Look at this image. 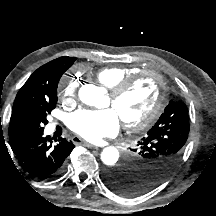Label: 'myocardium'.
<instances>
[{
    "label": "myocardium",
    "instance_id": "1",
    "mask_svg": "<svg viewBox=\"0 0 216 216\" xmlns=\"http://www.w3.org/2000/svg\"><path fill=\"white\" fill-rule=\"evenodd\" d=\"M145 76L153 77L158 84V94L148 114L135 122L123 121L124 127L130 131H141L149 127L157 118L158 114L162 110L166 96H167V83L158 71L155 70H143L133 75L128 76L121 82H119L110 91V98L116 103L123 94H125L134 84H136L141 78Z\"/></svg>",
    "mask_w": 216,
    "mask_h": 216
}]
</instances>
